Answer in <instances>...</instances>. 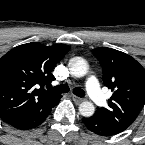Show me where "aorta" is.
<instances>
[{"mask_svg":"<svg viewBox=\"0 0 145 145\" xmlns=\"http://www.w3.org/2000/svg\"><path fill=\"white\" fill-rule=\"evenodd\" d=\"M70 73L75 77H82L87 73V62L81 57H74L69 62ZM79 111L84 117H91L95 112V107L91 102L84 101L79 106Z\"/></svg>","mask_w":145,"mask_h":145,"instance_id":"1","label":"aorta"}]
</instances>
